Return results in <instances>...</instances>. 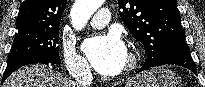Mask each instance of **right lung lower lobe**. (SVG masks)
Listing matches in <instances>:
<instances>
[{
  "label": "right lung lower lobe",
  "instance_id": "right-lung-lower-lobe-1",
  "mask_svg": "<svg viewBox=\"0 0 205 87\" xmlns=\"http://www.w3.org/2000/svg\"><path fill=\"white\" fill-rule=\"evenodd\" d=\"M41 63L45 65H54L53 63L31 56H16L8 58L7 67L3 74L2 82L16 69L27 64Z\"/></svg>",
  "mask_w": 205,
  "mask_h": 87
}]
</instances>
